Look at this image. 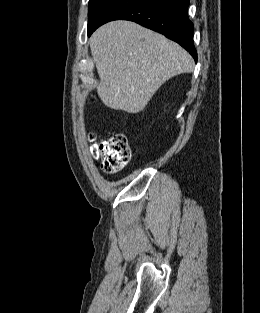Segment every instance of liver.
Segmentation results:
<instances>
[{"label": "liver", "mask_w": 260, "mask_h": 313, "mask_svg": "<svg viewBox=\"0 0 260 313\" xmlns=\"http://www.w3.org/2000/svg\"><path fill=\"white\" fill-rule=\"evenodd\" d=\"M103 104L128 113L142 111L171 77L190 73V54L161 34L131 21H112L90 38Z\"/></svg>", "instance_id": "6515ba94"}]
</instances>
